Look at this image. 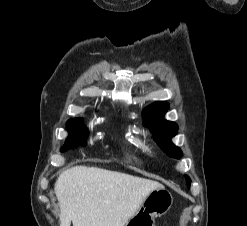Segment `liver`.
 Returning a JSON list of instances; mask_svg holds the SVG:
<instances>
[{
    "instance_id": "liver-1",
    "label": "liver",
    "mask_w": 247,
    "mask_h": 226,
    "mask_svg": "<svg viewBox=\"0 0 247 226\" xmlns=\"http://www.w3.org/2000/svg\"><path fill=\"white\" fill-rule=\"evenodd\" d=\"M156 181L97 167L76 166L55 183L60 226H124Z\"/></svg>"
}]
</instances>
